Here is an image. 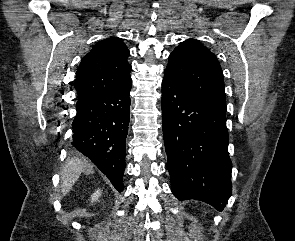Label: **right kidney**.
Wrapping results in <instances>:
<instances>
[{
	"mask_svg": "<svg viewBox=\"0 0 295 241\" xmlns=\"http://www.w3.org/2000/svg\"><path fill=\"white\" fill-rule=\"evenodd\" d=\"M101 196V192L100 190H97L91 197V201L94 202L96 200H98V198Z\"/></svg>",
	"mask_w": 295,
	"mask_h": 241,
	"instance_id": "ca27d5eb",
	"label": "right kidney"
}]
</instances>
